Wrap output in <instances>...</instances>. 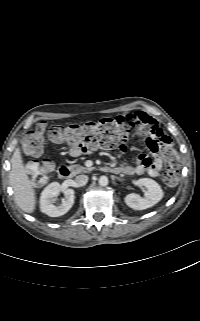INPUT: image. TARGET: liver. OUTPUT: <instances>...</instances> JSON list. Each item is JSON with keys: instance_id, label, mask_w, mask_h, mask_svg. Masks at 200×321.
I'll return each instance as SVG.
<instances>
[{"instance_id": "obj_1", "label": "liver", "mask_w": 200, "mask_h": 321, "mask_svg": "<svg viewBox=\"0 0 200 321\" xmlns=\"http://www.w3.org/2000/svg\"><path fill=\"white\" fill-rule=\"evenodd\" d=\"M9 183L13 188L15 202L26 213H33L36 206L35 191L24 167L20 149L11 158Z\"/></svg>"}]
</instances>
